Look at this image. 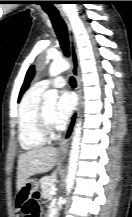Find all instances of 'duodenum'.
<instances>
[{"mask_svg":"<svg viewBox=\"0 0 132 217\" xmlns=\"http://www.w3.org/2000/svg\"><path fill=\"white\" fill-rule=\"evenodd\" d=\"M49 217H57V216L55 215V213H52V214H50Z\"/></svg>","mask_w":132,"mask_h":217,"instance_id":"1","label":"duodenum"}]
</instances>
